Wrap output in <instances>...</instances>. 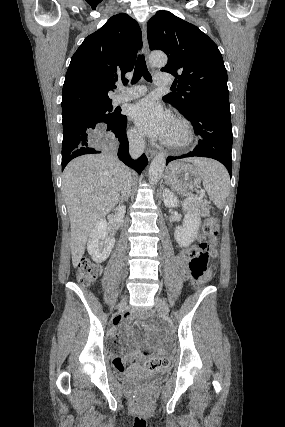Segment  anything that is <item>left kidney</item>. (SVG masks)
I'll list each match as a JSON object with an SVG mask.
<instances>
[{
    "label": "left kidney",
    "instance_id": "5707ae66",
    "mask_svg": "<svg viewBox=\"0 0 285 427\" xmlns=\"http://www.w3.org/2000/svg\"><path fill=\"white\" fill-rule=\"evenodd\" d=\"M163 202L166 207L173 208L179 205V201L175 194L169 189L163 190ZM201 224V219L196 213L188 212L183 220V225L175 228V239L181 246H189L197 236L198 229Z\"/></svg>",
    "mask_w": 285,
    "mask_h": 427
}]
</instances>
